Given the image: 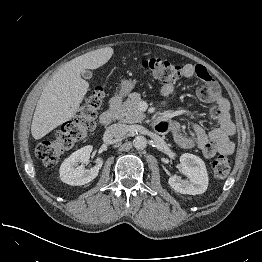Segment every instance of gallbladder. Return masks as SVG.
<instances>
[{"instance_id":"1","label":"gallbladder","mask_w":262,"mask_h":262,"mask_svg":"<svg viewBox=\"0 0 262 262\" xmlns=\"http://www.w3.org/2000/svg\"><path fill=\"white\" fill-rule=\"evenodd\" d=\"M82 77L84 79H91L93 74L90 70H84L82 73H81Z\"/></svg>"}]
</instances>
